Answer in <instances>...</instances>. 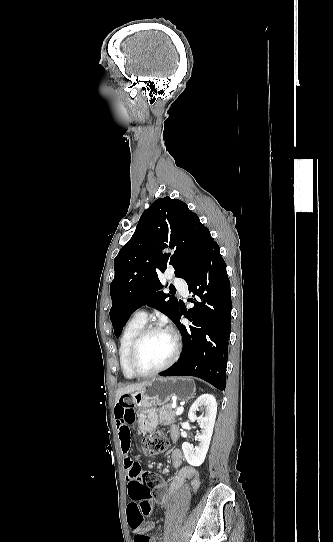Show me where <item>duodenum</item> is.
<instances>
[{"label":"duodenum","instance_id":"duodenum-1","mask_svg":"<svg viewBox=\"0 0 333 542\" xmlns=\"http://www.w3.org/2000/svg\"><path fill=\"white\" fill-rule=\"evenodd\" d=\"M177 438H178V435H176V434L172 435L173 440H176Z\"/></svg>","mask_w":333,"mask_h":542}]
</instances>
